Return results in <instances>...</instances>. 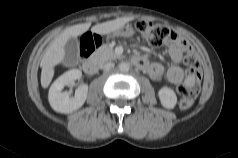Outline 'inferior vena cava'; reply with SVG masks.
Masks as SVG:
<instances>
[{"instance_id":"1","label":"inferior vena cava","mask_w":238,"mask_h":158,"mask_svg":"<svg viewBox=\"0 0 238 158\" xmlns=\"http://www.w3.org/2000/svg\"><path fill=\"white\" fill-rule=\"evenodd\" d=\"M114 67V63H112V62H109V63H106L104 66H103V70L105 71V72H108L111 68H113Z\"/></svg>"}]
</instances>
